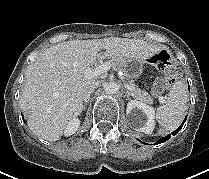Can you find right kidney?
Listing matches in <instances>:
<instances>
[{
    "instance_id": "obj_1",
    "label": "right kidney",
    "mask_w": 209,
    "mask_h": 179,
    "mask_svg": "<svg viewBox=\"0 0 209 179\" xmlns=\"http://www.w3.org/2000/svg\"><path fill=\"white\" fill-rule=\"evenodd\" d=\"M80 125V120L78 118H74L72 119L70 122L67 123L65 129H64V135L65 136H70L72 134H74L78 127Z\"/></svg>"
}]
</instances>
